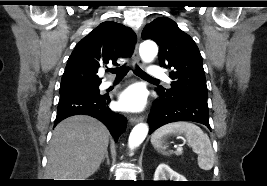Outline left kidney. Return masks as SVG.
Listing matches in <instances>:
<instances>
[{
  "label": "left kidney",
  "mask_w": 267,
  "mask_h": 186,
  "mask_svg": "<svg viewBox=\"0 0 267 186\" xmlns=\"http://www.w3.org/2000/svg\"><path fill=\"white\" fill-rule=\"evenodd\" d=\"M153 181H186V179L165 163H161L155 171Z\"/></svg>",
  "instance_id": "5707ae66"
}]
</instances>
